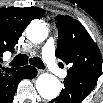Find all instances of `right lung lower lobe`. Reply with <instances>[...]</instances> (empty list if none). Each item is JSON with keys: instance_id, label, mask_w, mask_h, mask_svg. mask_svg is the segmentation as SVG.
Listing matches in <instances>:
<instances>
[{"instance_id": "obj_1", "label": "right lung lower lobe", "mask_w": 103, "mask_h": 103, "mask_svg": "<svg viewBox=\"0 0 103 103\" xmlns=\"http://www.w3.org/2000/svg\"><path fill=\"white\" fill-rule=\"evenodd\" d=\"M37 74L35 68L25 66L15 74L5 75L0 78V103H11L14 98L17 86L24 78H33Z\"/></svg>"}]
</instances>
